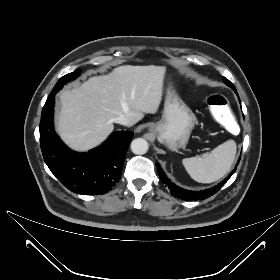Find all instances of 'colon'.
Listing matches in <instances>:
<instances>
[{
    "instance_id": "obj_1",
    "label": "colon",
    "mask_w": 280,
    "mask_h": 280,
    "mask_svg": "<svg viewBox=\"0 0 280 280\" xmlns=\"http://www.w3.org/2000/svg\"><path fill=\"white\" fill-rule=\"evenodd\" d=\"M207 105L213 118L225 127L230 135L239 136L243 133V126L236 122L227 99L221 94H212L207 98Z\"/></svg>"
}]
</instances>
